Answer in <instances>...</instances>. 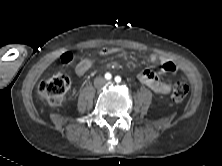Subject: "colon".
Returning <instances> with one entry per match:
<instances>
[{
    "mask_svg": "<svg viewBox=\"0 0 222 166\" xmlns=\"http://www.w3.org/2000/svg\"><path fill=\"white\" fill-rule=\"evenodd\" d=\"M73 56L66 53L61 57L63 64L72 61ZM70 86V80L63 72H57L50 78L42 81L38 87V93L51 107L61 106L65 99ZM189 87L183 82H177L173 86L172 98L175 101H182L188 94Z\"/></svg>",
    "mask_w": 222,
    "mask_h": 166,
    "instance_id": "colon-1",
    "label": "colon"
}]
</instances>
